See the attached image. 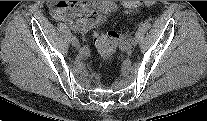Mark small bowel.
Here are the masks:
<instances>
[{
	"label": "small bowel",
	"instance_id": "small-bowel-1",
	"mask_svg": "<svg viewBox=\"0 0 207 121\" xmlns=\"http://www.w3.org/2000/svg\"><path fill=\"white\" fill-rule=\"evenodd\" d=\"M153 2L146 1L145 5L150 6ZM48 8L52 16L59 21L69 23L81 32L85 33L98 26L102 16L98 10V4L89 1H49ZM83 54L87 50L82 51Z\"/></svg>",
	"mask_w": 207,
	"mask_h": 121
}]
</instances>
